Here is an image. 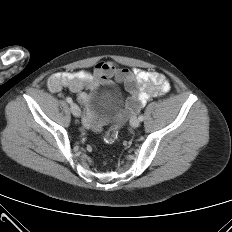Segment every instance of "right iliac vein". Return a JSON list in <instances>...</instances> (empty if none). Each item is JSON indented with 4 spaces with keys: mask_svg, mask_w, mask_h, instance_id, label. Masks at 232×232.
<instances>
[{
    "mask_svg": "<svg viewBox=\"0 0 232 232\" xmlns=\"http://www.w3.org/2000/svg\"><path fill=\"white\" fill-rule=\"evenodd\" d=\"M71 112L72 114L75 116V117H80L81 115V111H80V108L77 104L75 103H72L71 104Z\"/></svg>",
    "mask_w": 232,
    "mask_h": 232,
    "instance_id": "1",
    "label": "right iliac vein"
}]
</instances>
